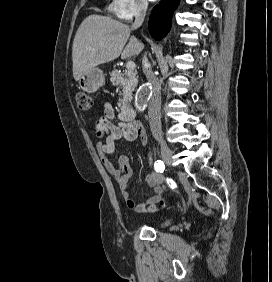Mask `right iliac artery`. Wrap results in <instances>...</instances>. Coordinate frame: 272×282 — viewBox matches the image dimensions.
Here are the masks:
<instances>
[{
	"instance_id": "1",
	"label": "right iliac artery",
	"mask_w": 272,
	"mask_h": 282,
	"mask_svg": "<svg viewBox=\"0 0 272 282\" xmlns=\"http://www.w3.org/2000/svg\"><path fill=\"white\" fill-rule=\"evenodd\" d=\"M154 167H155V170L157 172H161V173L165 169V165H164V163L161 160H158L157 162H155Z\"/></svg>"
}]
</instances>
